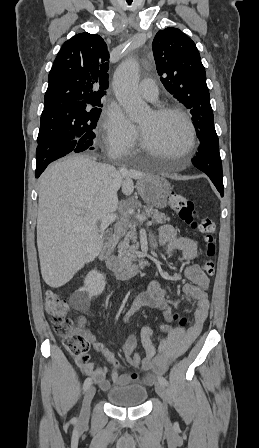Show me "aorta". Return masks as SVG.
Returning <instances> with one entry per match:
<instances>
[{
    "instance_id": "762f6f07",
    "label": "aorta",
    "mask_w": 259,
    "mask_h": 448,
    "mask_svg": "<svg viewBox=\"0 0 259 448\" xmlns=\"http://www.w3.org/2000/svg\"><path fill=\"white\" fill-rule=\"evenodd\" d=\"M139 65L134 59H127L116 70L113 88L118 102L129 118L138 120L147 110V105L138 92Z\"/></svg>"
}]
</instances>
